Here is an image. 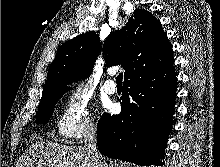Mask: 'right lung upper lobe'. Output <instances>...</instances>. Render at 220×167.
I'll return each instance as SVG.
<instances>
[{
    "label": "right lung upper lobe",
    "instance_id": "1",
    "mask_svg": "<svg viewBox=\"0 0 220 167\" xmlns=\"http://www.w3.org/2000/svg\"><path fill=\"white\" fill-rule=\"evenodd\" d=\"M101 50L105 66L121 65L125 68L124 79L174 60L171 44L160 21L148 11L137 9L123 29L110 32L103 49L94 31L62 44L49 67L41 101L69 89L66 85L88 77Z\"/></svg>",
    "mask_w": 220,
    "mask_h": 167
}]
</instances>
